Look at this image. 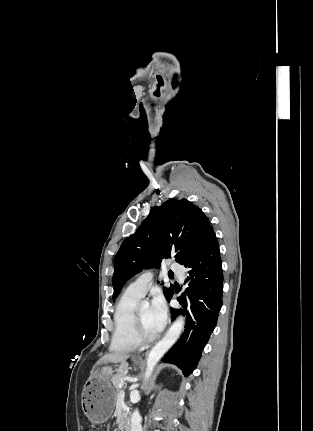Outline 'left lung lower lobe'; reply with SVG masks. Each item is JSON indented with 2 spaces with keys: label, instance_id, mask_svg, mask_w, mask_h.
<instances>
[{
  "label": "left lung lower lobe",
  "instance_id": "obj_1",
  "mask_svg": "<svg viewBox=\"0 0 313 431\" xmlns=\"http://www.w3.org/2000/svg\"><path fill=\"white\" fill-rule=\"evenodd\" d=\"M189 269L186 294L178 298L184 309L171 308L172 320L186 315L185 330L163 361L177 365L188 376L196 368L201 352L217 323L222 306L223 271L218 241L210 225L193 255L184 264ZM174 294V290L168 301Z\"/></svg>",
  "mask_w": 313,
  "mask_h": 431
}]
</instances>
